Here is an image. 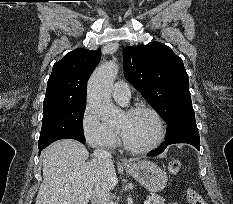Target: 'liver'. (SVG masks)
Here are the masks:
<instances>
[{"label":"liver","mask_w":233,"mask_h":204,"mask_svg":"<svg viewBox=\"0 0 233 204\" xmlns=\"http://www.w3.org/2000/svg\"><path fill=\"white\" fill-rule=\"evenodd\" d=\"M88 157L86 147L72 139L44 149L43 182L35 204H88L104 182L109 190L114 189L118 179L113 162L105 165L95 158L87 161Z\"/></svg>","instance_id":"1"}]
</instances>
